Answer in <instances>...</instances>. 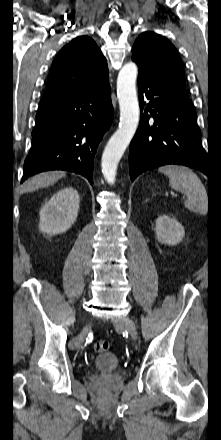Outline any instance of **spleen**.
Returning a JSON list of instances; mask_svg holds the SVG:
<instances>
[{
    "instance_id": "obj_1",
    "label": "spleen",
    "mask_w": 221,
    "mask_h": 440,
    "mask_svg": "<svg viewBox=\"0 0 221 440\" xmlns=\"http://www.w3.org/2000/svg\"><path fill=\"white\" fill-rule=\"evenodd\" d=\"M159 172L169 178L173 189L184 193L187 197L184 205L192 212L207 213V192L199 177L190 168L178 165H166Z\"/></svg>"
}]
</instances>
